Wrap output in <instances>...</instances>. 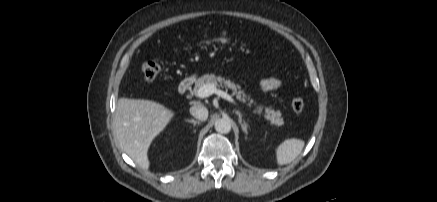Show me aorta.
I'll return each instance as SVG.
<instances>
[{
    "label": "aorta",
    "mask_w": 437,
    "mask_h": 202,
    "mask_svg": "<svg viewBox=\"0 0 437 202\" xmlns=\"http://www.w3.org/2000/svg\"><path fill=\"white\" fill-rule=\"evenodd\" d=\"M215 130L222 134H227L231 131V123L228 119L221 118L215 122Z\"/></svg>",
    "instance_id": "obj_1"
}]
</instances>
